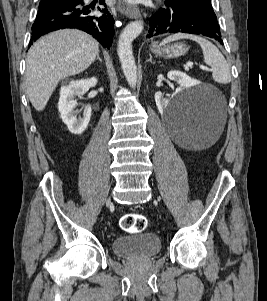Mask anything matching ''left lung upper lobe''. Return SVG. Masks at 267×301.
Returning <instances> with one entry per match:
<instances>
[{"label": "left lung upper lobe", "instance_id": "left-lung-upper-lobe-1", "mask_svg": "<svg viewBox=\"0 0 267 301\" xmlns=\"http://www.w3.org/2000/svg\"><path fill=\"white\" fill-rule=\"evenodd\" d=\"M165 4H179L204 15L206 18L217 21V17L212 9L211 0H165Z\"/></svg>", "mask_w": 267, "mask_h": 301}]
</instances>
